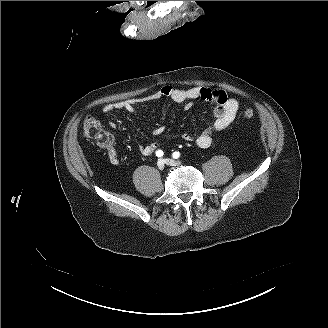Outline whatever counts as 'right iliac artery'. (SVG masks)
<instances>
[{
	"mask_svg": "<svg viewBox=\"0 0 328 328\" xmlns=\"http://www.w3.org/2000/svg\"><path fill=\"white\" fill-rule=\"evenodd\" d=\"M156 155H157L158 157L163 156V151H161V150L156 151Z\"/></svg>",
	"mask_w": 328,
	"mask_h": 328,
	"instance_id": "obj_1",
	"label": "right iliac artery"
}]
</instances>
